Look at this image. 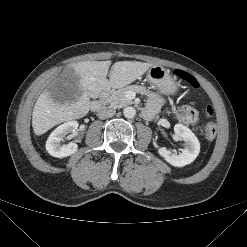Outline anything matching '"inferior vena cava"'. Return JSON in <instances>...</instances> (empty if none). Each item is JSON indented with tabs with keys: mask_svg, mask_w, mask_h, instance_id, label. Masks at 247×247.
Instances as JSON below:
<instances>
[{
	"mask_svg": "<svg viewBox=\"0 0 247 247\" xmlns=\"http://www.w3.org/2000/svg\"><path fill=\"white\" fill-rule=\"evenodd\" d=\"M116 114V110L114 108H102L97 116L100 119H106V118H110L113 117Z\"/></svg>",
	"mask_w": 247,
	"mask_h": 247,
	"instance_id": "1",
	"label": "inferior vena cava"
}]
</instances>
